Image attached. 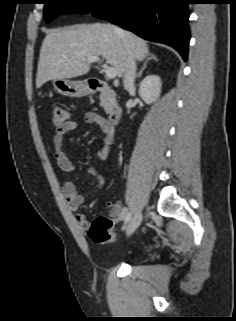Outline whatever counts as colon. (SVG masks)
Segmentation results:
<instances>
[{"instance_id":"1","label":"colon","mask_w":236,"mask_h":321,"mask_svg":"<svg viewBox=\"0 0 236 321\" xmlns=\"http://www.w3.org/2000/svg\"><path fill=\"white\" fill-rule=\"evenodd\" d=\"M53 123L56 126L63 125L68 121L67 112L61 106L52 109ZM88 235L96 243H108L115 239L113 221L106 216H98L88 226Z\"/></svg>"}]
</instances>
